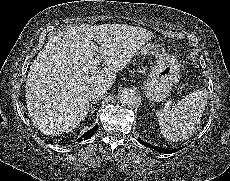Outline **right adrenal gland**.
Returning a JSON list of instances; mask_svg holds the SVG:
<instances>
[{
    "mask_svg": "<svg viewBox=\"0 0 230 181\" xmlns=\"http://www.w3.org/2000/svg\"><path fill=\"white\" fill-rule=\"evenodd\" d=\"M95 103H96V102H92V103H91V106H90V108H91V109H90V112H91V113H93V109H94V104H95Z\"/></svg>",
    "mask_w": 230,
    "mask_h": 181,
    "instance_id": "1",
    "label": "right adrenal gland"
}]
</instances>
